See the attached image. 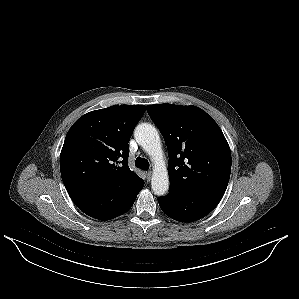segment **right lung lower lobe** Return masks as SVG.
I'll list each match as a JSON object with an SVG mask.
<instances>
[{
  "label": "right lung lower lobe",
  "mask_w": 299,
  "mask_h": 299,
  "mask_svg": "<svg viewBox=\"0 0 299 299\" xmlns=\"http://www.w3.org/2000/svg\"><path fill=\"white\" fill-rule=\"evenodd\" d=\"M138 193L126 201L125 190L121 186L113 185L82 191L70 197L85 214L99 220H110L126 213L133 205Z\"/></svg>",
  "instance_id": "obj_1"
}]
</instances>
